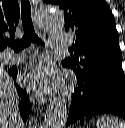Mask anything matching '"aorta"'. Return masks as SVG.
<instances>
[{
    "mask_svg": "<svg viewBox=\"0 0 125 128\" xmlns=\"http://www.w3.org/2000/svg\"><path fill=\"white\" fill-rule=\"evenodd\" d=\"M36 22L41 29L56 32L64 27V15L61 9L54 5H43L36 14ZM67 117V102L65 98L58 97L46 111L42 128H65Z\"/></svg>",
    "mask_w": 125,
    "mask_h": 128,
    "instance_id": "obj_1",
    "label": "aorta"
}]
</instances>
